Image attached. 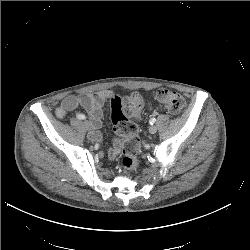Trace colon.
I'll use <instances>...</instances> for the list:
<instances>
[{
    "mask_svg": "<svg viewBox=\"0 0 250 250\" xmlns=\"http://www.w3.org/2000/svg\"><path fill=\"white\" fill-rule=\"evenodd\" d=\"M156 98L167 112L174 115L180 114L186 105L181 94L168 89L159 90ZM142 104L143 99L137 93L122 97L119 93L113 92L110 97L113 130L121 138L120 148L123 152L121 166L127 172H132L138 167L140 138L137 126L131 119L137 117Z\"/></svg>",
    "mask_w": 250,
    "mask_h": 250,
    "instance_id": "obj_1",
    "label": "colon"
}]
</instances>
